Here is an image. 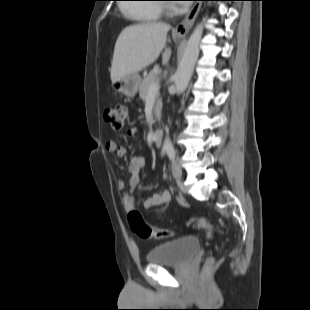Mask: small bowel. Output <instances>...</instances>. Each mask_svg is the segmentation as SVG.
Returning <instances> with one entry per match:
<instances>
[{"label":"small bowel","instance_id":"1","mask_svg":"<svg viewBox=\"0 0 310 310\" xmlns=\"http://www.w3.org/2000/svg\"><path fill=\"white\" fill-rule=\"evenodd\" d=\"M137 127H131L127 130L126 134L129 137H133L138 133ZM106 151L108 153L115 154L117 157H123L125 154V148L116 143L115 141H108L106 144ZM145 166V159L142 156L136 155L131 157L129 162V178L126 182L123 179H120L117 182L118 190L122 191V202L124 209L127 212H131L137 209V206L134 201L133 192L137 188L139 184V173ZM126 187H128V191H126ZM171 194L169 191H163L160 193L153 194L147 197L143 203L144 209L148 210L153 207L163 206L170 202Z\"/></svg>","mask_w":310,"mask_h":310}]
</instances>
